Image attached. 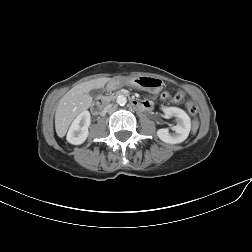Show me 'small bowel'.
<instances>
[{
  "label": "small bowel",
  "mask_w": 252,
  "mask_h": 252,
  "mask_svg": "<svg viewBox=\"0 0 252 252\" xmlns=\"http://www.w3.org/2000/svg\"><path fill=\"white\" fill-rule=\"evenodd\" d=\"M182 94H183V93H182ZM183 97H184V95H183ZM142 103H143V110H149V109H151L152 106H153L152 101H149V100L144 101V102H142Z\"/></svg>",
  "instance_id": "small-bowel-1"
}]
</instances>
